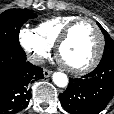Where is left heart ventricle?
Wrapping results in <instances>:
<instances>
[{
	"instance_id": "b2bd125f",
	"label": "left heart ventricle",
	"mask_w": 114,
	"mask_h": 114,
	"mask_svg": "<svg viewBox=\"0 0 114 114\" xmlns=\"http://www.w3.org/2000/svg\"><path fill=\"white\" fill-rule=\"evenodd\" d=\"M99 45L98 34L87 21L79 23L61 50L62 60L72 67H83L95 56Z\"/></svg>"
}]
</instances>
